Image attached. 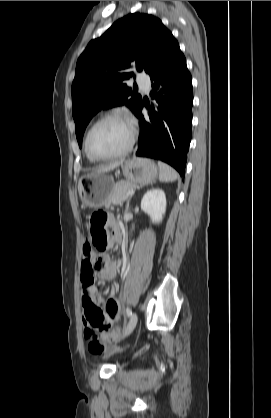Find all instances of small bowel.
I'll use <instances>...</instances> for the list:
<instances>
[{
    "instance_id": "obj_1",
    "label": "small bowel",
    "mask_w": 271,
    "mask_h": 418,
    "mask_svg": "<svg viewBox=\"0 0 271 418\" xmlns=\"http://www.w3.org/2000/svg\"><path fill=\"white\" fill-rule=\"evenodd\" d=\"M107 222L111 225H115V222L112 218H107ZM117 232V230H115ZM80 255L83 257L81 262V286H82V307L84 310L83 324L86 330L89 328V321L87 318V311L91 308H97L108 325V329L105 330L101 336V348L94 349L89 346V350L94 355L106 354L105 342L115 338L119 330L117 328L110 331V328L113 324L118 321L120 318V308L118 301L114 298V290H111L110 296L107 300L97 299L95 289L100 291L102 286L97 284L95 286V276L101 279L100 283L105 285L107 281H111L116 273V265L109 261L107 255H101L99 258L96 257L93 247L89 246V241L87 239H82L80 241ZM90 254V255H89ZM86 336V335H85Z\"/></svg>"
}]
</instances>
